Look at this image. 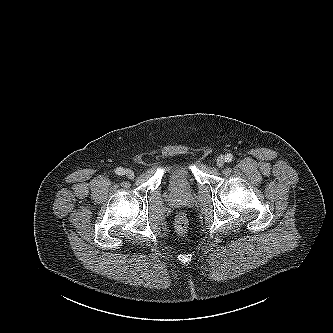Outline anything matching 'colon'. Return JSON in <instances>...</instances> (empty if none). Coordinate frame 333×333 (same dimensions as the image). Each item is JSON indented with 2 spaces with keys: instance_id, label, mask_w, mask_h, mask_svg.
Returning a JSON list of instances; mask_svg holds the SVG:
<instances>
[{
  "instance_id": "5ec220e1",
  "label": "colon",
  "mask_w": 333,
  "mask_h": 333,
  "mask_svg": "<svg viewBox=\"0 0 333 333\" xmlns=\"http://www.w3.org/2000/svg\"><path fill=\"white\" fill-rule=\"evenodd\" d=\"M176 231L180 234H186L190 229L189 219L185 214H180L177 216L175 221Z\"/></svg>"
}]
</instances>
